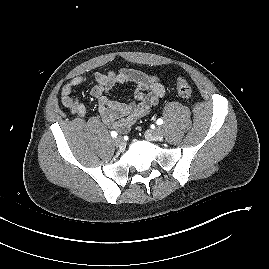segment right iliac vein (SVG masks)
Wrapping results in <instances>:
<instances>
[{"mask_svg": "<svg viewBox=\"0 0 269 269\" xmlns=\"http://www.w3.org/2000/svg\"><path fill=\"white\" fill-rule=\"evenodd\" d=\"M114 143L117 147L119 148H124L125 147V142L122 137L118 136L114 139Z\"/></svg>", "mask_w": 269, "mask_h": 269, "instance_id": "1", "label": "right iliac vein"}]
</instances>
